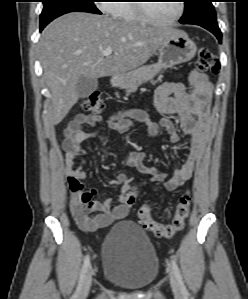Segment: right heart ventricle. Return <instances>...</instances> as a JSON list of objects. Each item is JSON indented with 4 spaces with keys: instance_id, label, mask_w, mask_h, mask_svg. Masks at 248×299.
Returning <instances> with one entry per match:
<instances>
[{
    "instance_id": "e07e8e85",
    "label": "right heart ventricle",
    "mask_w": 248,
    "mask_h": 299,
    "mask_svg": "<svg viewBox=\"0 0 248 299\" xmlns=\"http://www.w3.org/2000/svg\"><path fill=\"white\" fill-rule=\"evenodd\" d=\"M132 1H123L122 3H117L115 7L114 14L120 20L128 24H141L144 21L140 18L136 11V7Z\"/></svg>"
}]
</instances>
